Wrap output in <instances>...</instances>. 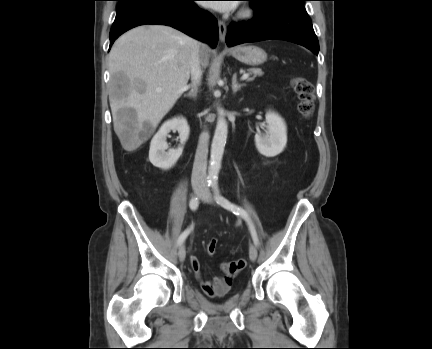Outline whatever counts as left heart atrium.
I'll return each mask as SVG.
<instances>
[{
    "label": "left heart atrium",
    "instance_id": "39dd6f15",
    "mask_svg": "<svg viewBox=\"0 0 432 349\" xmlns=\"http://www.w3.org/2000/svg\"><path fill=\"white\" fill-rule=\"evenodd\" d=\"M208 7L216 9L220 12H228L233 10L236 7L234 1H225V2H215L212 4H207Z\"/></svg>",
    "mask_w": 432,
    "mask_h": 349
}]
</instances>
